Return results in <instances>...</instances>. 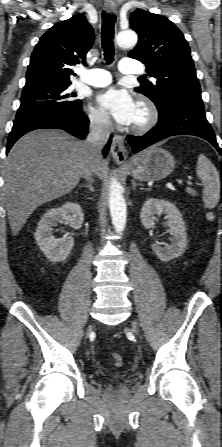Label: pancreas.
Returning <instances> with one entry per match:
<instances>
[{
    "label": "pancreas",
    "mask_w": 222,
    "mask_h": 447,
    "mask_svg": "<svg viewBox=\"0 0 222 447\" xmlns=\"http://www.w3.org/2000/svg\"><path fill=\"white\" fill-rule=\"evenodd\" d=\"M186 192L191 196H197V192L192 188H186Z\"/></svg>",
    "instance_id": "obj_1"
}]
</instances>
